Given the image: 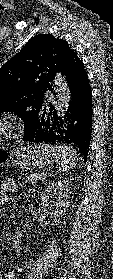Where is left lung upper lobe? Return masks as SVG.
Segmentation results:
<instances>
[{"label": "left lung upper lobe", "mask_w": 113, "mask_h": 279, "mask_svg": "<svg viewBox=\"0 0 113 279\" xmlns=\"http://www.w3.org/2000/svg\"><path fill=\"white\" fill-rule=\"evenodd\" d=\"M73 51L52 34L32 37L0 69V113L17 114L28 132L46 89Z\"/></svg>", "instance_id": "obj_1"}]
</instances>
